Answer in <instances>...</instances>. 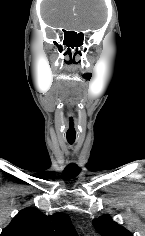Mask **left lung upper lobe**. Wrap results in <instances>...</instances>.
<instances>
[{
  "label": "left lung upper lobe",
  "mask_w": 145,
  "mask_h": 236,
  "mask_svg": "<svg viewBox=\"0 0 145 236\" xmlns=\"http://www.w3.org/2000/svg\"><path fill=\"white\" fill-rule=\"evenodd\" d=\"M93 225L101 236H133L131 232L114 222L108 215L94 219Z\"/></svg>",
  "instance_id": "1"
}]
</instances>
